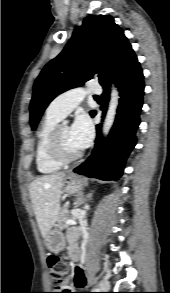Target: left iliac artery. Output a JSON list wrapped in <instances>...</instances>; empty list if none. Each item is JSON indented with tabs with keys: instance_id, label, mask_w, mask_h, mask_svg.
Here are the masks:
<instances>
[{
	"instance_id": "obj_1",
	"label": "left iliac artery",
	"mask_w": 170,
	"mask_h": 293,
	"mask_svg": "<svg viewBox=\"0 0 170 293\" xmlns=\"http://www.w3.org/2000/svg\"><path fill=\"white\" fill-rule=\"evenodd\" d=\"M99 286H100L99 288H100L101 290H104V288L101 286V283L99 284Z\"/></svg>"
}]
</instances>
